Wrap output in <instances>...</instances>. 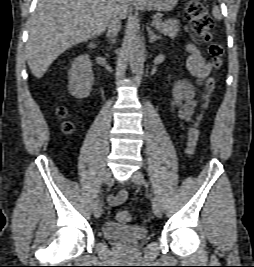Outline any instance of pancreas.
I'll use <instances>...</instances> for the list:
<instances>
[{
	"instance_id": "obj_1",
	"label": "pancreas",
	"mask_w": 254,
	"mask_h": 267,
	"mask_svg": "<svg viewBox=\"0 0 254 267\" xmlns=\"http://www.w3.org/2000/svg\"><path fill=\"white\" fill-rule=\"evenodd\" d=\"M156 17L158 19L161 18L160 15H156ZM179 23V20L169 19L167 21L161 22L158 26H156V28L164 35H167L170 38H175L179 32Z\"/></svg>"
}]
</instances>
